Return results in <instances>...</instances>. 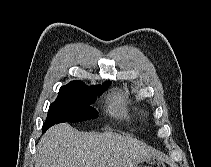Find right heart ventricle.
I'll return each mask as SVG.
<instances>
[{"mask_svg": "<svg viewBox=\"0 0 211 167\" xmlns=\"http://www.w3.org/2000/svg\"><path fill=\"white\" fill-rule=\"evenodd\" d=\"M126 106H127L126 98L122 95H118V96L112 97L109 100L108 109H109V112L115 116H125Z\"/></svg>", "mask_w": 211, "mask_h": 167, "instance_id": "right-heart-ventricle-1", "label": "right heart ventricle"}]
</instances>
